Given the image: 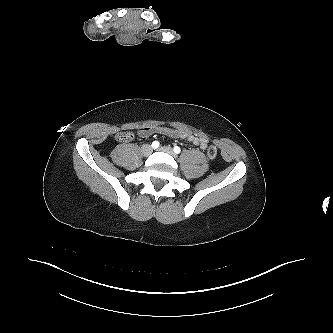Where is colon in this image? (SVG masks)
Segmentation results:
<instances>
[{
  "label": "colon",
  "instance_id": "colon-1",
  "mask_svg": "<svg viewBox=\"0 0 333 333\" xmlns=\"http://www.w3.org/2000/svg\"><path fill=\"white\" fill-rule=\"evenodd\" d=\"M116 138L120 142H127L133 139V134L131 132H119ZM207 156L210 159H214L217 156V149L214 146H209L207 148Z\"/></svg>",
  "mask_w": 333,
  "mask_h": 333
}]
</instances>
